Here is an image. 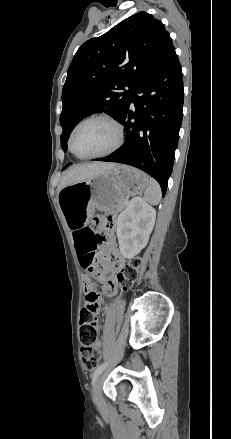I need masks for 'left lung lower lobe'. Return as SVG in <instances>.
Instances as JSON below:
<instances>
[{"label":"left lung lower lobe","instance_id":"0a47b994","mask_svg":"<svg viewBox=\"0 0 231 439\" xmlns=\"http://www.w3.org/2000/svg\"><path fill=\"white\" fill-rule=\"evenodd\" d=\"M183 74L172 46L134 87L120 119L125 143L98 159L139 168L167 190L182 123Z\"/></svg>","mask_w":231,"mask_h":439}]
</instances>
